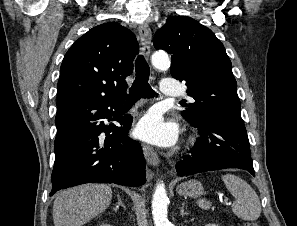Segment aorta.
Wrapping results in <instances>:
<instances>
[{
	"mask_svg": "<svg viewBox=\"0 0 297 226\" xmlns=\"http://www.w3.org/2000/svg\"><path fill=\"white\" fill-rule=\"evenodd\" d=\"M152 65L160 70L170 67V59L165 52H155L151 58ZM168 197L164 183H159L152 199V214L155 226H167Z\"/></svg>",
	"mask_w": 297,
	"mask_h": 226,
	"instance_id": "aorta-1",
	"label": "aorta"
}]
</instances>
